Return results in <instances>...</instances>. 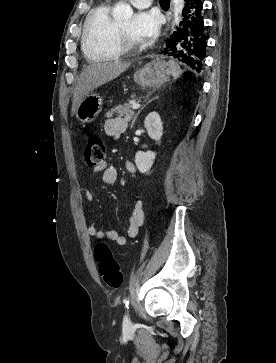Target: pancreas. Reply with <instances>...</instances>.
Returning <instances> with one entry per match:
<instances>
[{"label":"pancreas","instance_id":"1","mask_svg":"<svg viewBox=\"0 0 276 363\" xmlns=\"http://www.w3.org/2000/svg\"><path fill=\"white\" fill-rule=\"evenodd\" d=\"M131 103L118 105L106 113L107 117H112L113 114H118L123 117L125 121H130L134 118L135 112L131 109Z\"/></svg>","mask_w":276,"mask_h":363}]
</instances>
